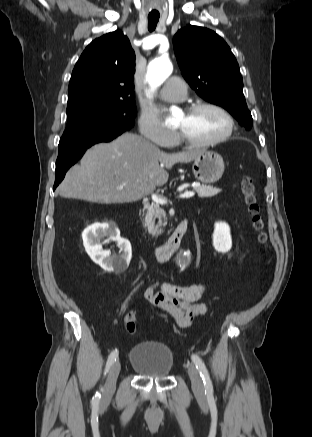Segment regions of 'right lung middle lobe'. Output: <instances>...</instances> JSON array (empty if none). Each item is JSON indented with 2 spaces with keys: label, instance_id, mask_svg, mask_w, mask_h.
I'll use <instances>...</instances> for the list:
<instances>
[{
  "label": "right lung middle lobe",
  "instance_id": "1",
  "mask_svg": "<svg viewBox=\"0 0 312 437\" xmlns=\"http://www.w3.org/2000/svg\"><path fill=\"white\" fill-rule=\"evenodd\" d=\"M135 102H84L67 107L59 151L91 139L121 134L134 126Z\"/></svg>",
  "mask_w": 312,
  "mask_h": 437
}]
</instances>
